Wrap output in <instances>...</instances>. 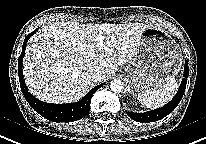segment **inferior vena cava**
<instances>
[{
	"instance_id": "obj_1",
	"label": "inferior vena cava",
	"mask_w": 206,
	"mask_h": 144,
	"mask_svg": "<svg viewBox=\"0 0 206 144\" xmlns=\"http://www.w3.org/2000/svg\"><path fill=\"white\" fill-rule=\"evenodd\" d=\"M87 74H88V77L93 81V82H98L101 80L102 78V74L100 72L99 69H96V68H89L87 70Z\"/></svg>"
}]
</instances>
